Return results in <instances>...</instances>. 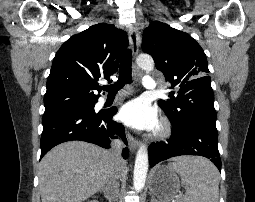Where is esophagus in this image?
<instances>
[{"label": "esophagus", "mask_w": 255, "mask_h": 202, "mask_svg": "<svg viewBox=\"0 0 255 202\" xmlns=\"http://www.w3.org/2000/svg\"><path fill=\"white\" fill-rule=\"evenodd\" d=\"M129 41L133 56H137L139 51V31L136 26H132L129 29ZM126 136L131 152H135L137 147L139 146V141L135 137H133L129 132L126 133Z\"/></svg>", "instance_id": "obj_1"}]
</instances>
